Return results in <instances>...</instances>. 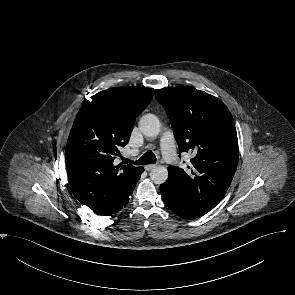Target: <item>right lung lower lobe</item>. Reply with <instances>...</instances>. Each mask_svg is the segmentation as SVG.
Listing matches in <instances>:
<instances>
[{
  "label": "right lung lower lobe",
  "instance_id": "obj_1",
  "mask_svg": "<svg viewBox=\"0 0 295 295\" xmlns=\"http://www.w3.org/2000/svg\"><path fill=\"white\" fill-rule=\"evenodd\" d=\"M143 171H144V168L141 167L138 170L137 174L135 175L134 180L131 183V186L128 189H126V191L120 196V198L118 199V201L114 205H112L111 207H109L103 211H99V212H95V213L98 215L108 216V215H112V214L117 213L123 207H125L129 201V197L133 193L135 185H136L137 181L139 180L140 175Z\"/></svg>",
  "mask_w": 295,
  "mask_h": 295
}]
</instances>
